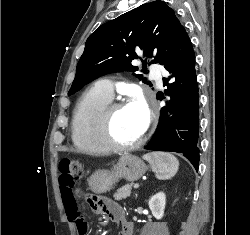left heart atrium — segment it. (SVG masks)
<instances>
[{
  "instance_id": "1",
  "label": "left heart atrium",
  "mask_w": 250,
  "mask_h": 235,
  "mask_svg": "<svg viewBox=\"0 0 250 235\" xmlns=\"http://www.w3.org/2000/svg\"><path fill=\"white\" fill-rule=\"evenodd\" d=\"M129 106L140 118L141 127L144 131L149 123V110L145 100L140 96H136Z\"/></svg>"
}]
</instances>
